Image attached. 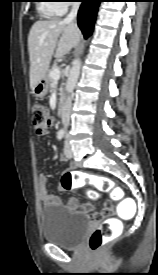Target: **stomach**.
<instances>
[{
    "mask_svg": "<svg viewBox=\"0 0 158 275\" xmlns=\"http://www.w3.org/2000/svg\"><path fill=\"white\" fill-rule=\"evenodd\" d=\"M49 82L47 74L35 85L33 93L36 97H44L47 94Z\"/></svg>",
    "mask_w": 158,
    "mask_h": 275,
    "instance_id": "stomach-1",
    "label": "stomach"
}]
</instances>
